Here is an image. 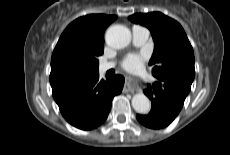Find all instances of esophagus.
<instances>
[{"instance_id":"1","label":"esophagus","mask_w":230,"mask_h":155,"mask_svg":"<svg viewBox=\"0 0 230 155\" xmlns=\"http://www.w3.org/2000/svg\"><path fill=\"white\" fill-rule=\"evenodd\" d=\"M133 81H134L133 77L125 76V86H124V88L126 89V91L132 92L134 90L133 86H132Z\"/></svg>"}]
</instances>
